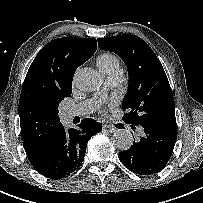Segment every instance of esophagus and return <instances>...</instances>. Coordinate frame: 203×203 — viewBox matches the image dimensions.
<instances>
[{
  "instance_id": "1",
  "label": "esophagus",
  "mask_w": 203,
  "mask_h": 203,
  "mask_svg": "<svg viewBox=\"0 0 203 203\" xmlns=\"http://www.w3.org/2000/svg\"><path fill=\"white\" fill-rule=\"evenodd\" d=\"M103 128H109L111 131H113V132L115 131V127H114L113 123L108 120L103 121Z\"/></svg>"
}]
</instances>
